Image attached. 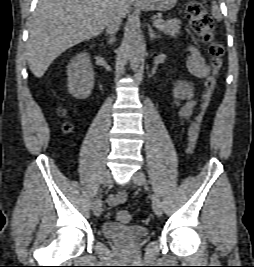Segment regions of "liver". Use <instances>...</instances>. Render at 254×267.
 I'll use <instances>...</instances> for the list:
<instances>
[{
    "mask_svg": "<svg viewBox=\"0 0 254 267\" xmlns=\"http://www.w3.org/2000/svg\"><path fill=\"white\" fill-rule=\"evenodd\" d=\"M114 11L125 18L127 0H39L26 45L33 75L41 78L64 51L102 33Z\"/></svg>",
    "mask_w": 254,
    "mask_h": 267,
    "instance_id": "1",
    "label": "liver"
}]
</instances>
